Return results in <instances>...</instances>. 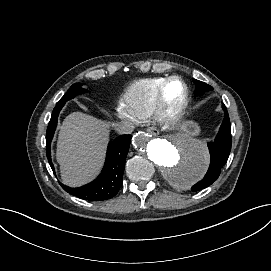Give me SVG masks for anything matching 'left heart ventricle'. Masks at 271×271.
Instances as JSON below:
<instances>
[{
	"mask_svg": "<svg viewBox=\"0 0 271 271\" xmlns=\"http://www.w3.org/2000/svg\"><path fill=\"white\" fill-rule=\"evenodd\" d=\"M184 85L180 81H173L168 87V96L172 100H178L184 95Z\"/></svg>",
	"mask_w": 271,
	"mask_h": 271,
	"instance_id": "obj_1",
	"label": "left heart ventricle"
}]
</instances>
